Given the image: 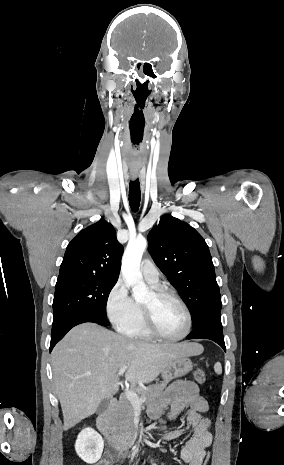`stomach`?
Listing matches in <instances>:
<instances>
[{
  "label": "stomach",
  "mask_w": 284,
  "mask_h": 465,
  "mask_svg": "<svg viewBox=\"0 0 284 465\" xmlns=\"http://www.w3.org/2000/svg\"><path fill=\"white\" fill-rule=\"evenodd\" d=\"M193 369V363L191 359L188 357H177L173 363H170L169 367L163 371L162 375L164 379L166 377H171V379H175V377H183V375H187Z\"/></svg>",
  "instance_id": "0dacf381"
}]
</instances>
